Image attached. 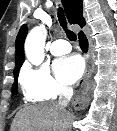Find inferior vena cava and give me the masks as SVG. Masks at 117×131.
I'll use <instances>...</instances> for the list:
<instances>
[{"label": "inferior vena cava", "mask_w": 117, "mask_h": 131, "mask_svg": "<svg viewBox=\"0 0 117 131\" xmlns=\"http://www.w3.org/2000/svg\"><path fill=\"white\" fill-rule=\"evenodd\" d=\"M60 94H59V106L65 108L67 107L69 101L71 100L73 96V88L67 87V86H60Z\"/></svg>", "instance_id": "inferior-vena-cava-1"}]
</instances>
